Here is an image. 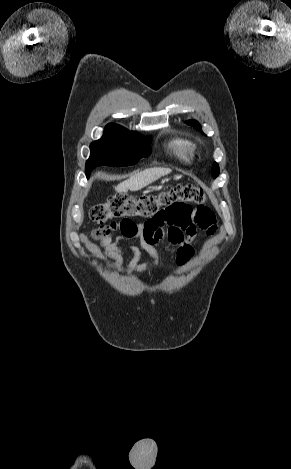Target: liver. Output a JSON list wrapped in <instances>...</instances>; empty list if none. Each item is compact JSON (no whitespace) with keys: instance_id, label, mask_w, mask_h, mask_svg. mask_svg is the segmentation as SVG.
Wrapping results in <instances>:
<instances>
[{"instance_id":"liver-1","label":"liver","mask_w":291,"mask_h":469,"mask_svg":"<svg viewBox=\"0 0 291 469\" xmlns=\"http://www.w3.org/2000/svg\"><path fill=\"white\" fill-rule=\"evenodd\" d=\"M171 173L169 168H150L131 176L115 187L117 192L138 191L156 181L158 178Z\"/></svg>"}]
</instances>
